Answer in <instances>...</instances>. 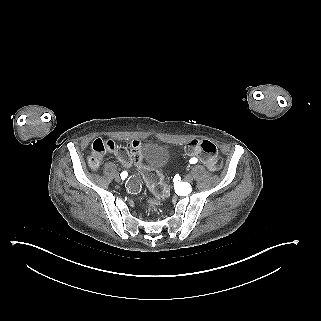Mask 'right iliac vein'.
Listing matches in <instances>:
<instances>
[{"mask_svg":"<svg viewBox=\"0 0 321 321\" xmlns=\"http://www.w3.org/2000/svg\"><path fill=\"white\" fill-rule=\"evenodd\" d=\"M114 178L116 182H121V177L119 176V174H115Z\"/></svg>","mask_w":321,"mask_h":321,"instance_id":"63e3f726","label":"right iliac vein"}]
</instances>
